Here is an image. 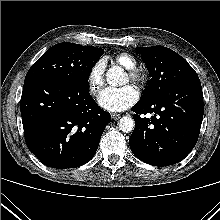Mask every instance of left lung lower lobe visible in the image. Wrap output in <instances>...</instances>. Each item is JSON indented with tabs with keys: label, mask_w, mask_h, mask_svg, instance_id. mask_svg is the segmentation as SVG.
Wrapping results in <instances>:
<instances>
[{
	"label": "left lung lower lobe",
	"mask_w": 220,
	"mask_h": 220,
	"mask_svg": "<svg viewBox=\"0 0 220 220\" xmlns=\"http://www.w3.org/2000/svg\"><path fill=\"white\" fill-rule=\"evenodd\" d=\"M129 145L141 161L168 166L180 162L194 148L204 113L200 80L184 82L149 102H138ZM153 114L151 119L140 114Z\"/></svg>",
	"instance_id": "left-lung-lower-lobe-1"
}]
</instances>
